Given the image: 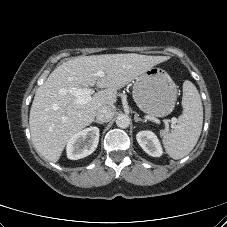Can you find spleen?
Returning a JSON list of instances; mask_svg holds the SVG:
<instances>
[{"label":"spleen","instance_id":"1","mask_svg":"<svg viewBox=\"0 0 227 227\" xmlns=\"http://www.w3.org/2000/svg\"><path fill=\"white\" fill-rule=\"evenodd\" d=\"M183 112L178 118L175 130L163 136L167 154L173 159H181L195 147L203 124V106L195 85L186 80L183 83Z\"/></svg>","mask_w":227,"mask_h":227}]
</instances>
